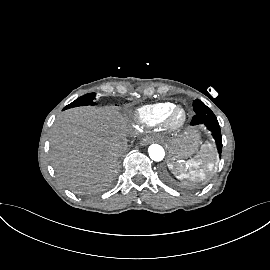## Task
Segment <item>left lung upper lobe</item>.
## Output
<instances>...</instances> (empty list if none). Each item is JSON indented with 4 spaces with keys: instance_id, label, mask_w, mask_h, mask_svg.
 I'll return each instance as SVG.
<instances>
[{
    "instance_id": "1",
    "label": "left lung upper lobe",
    "mask_w": 270,
    "mask_h": 270,
    "mask_svg": "<svg viewBox=\"0 0 270 270\" xmlns=\"http://www.w3.org/2000/svg\"><path fill=\"white\" fill-rule=\"evenodd\" d=\"M195 115L191 121L192 124H198L201 121L215 119L214 113L200 100L196 99L193 102Z\"/></svg>"
}]
</instances>
